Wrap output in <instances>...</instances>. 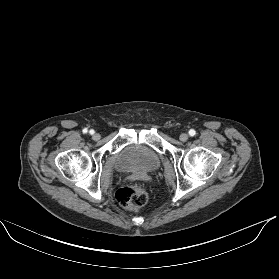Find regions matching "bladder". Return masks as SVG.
Wrapping results in <instances>:
<instances>
[{"label": "bladder", "instance_id": "31cf9c89", "mask_svg": "<svg viewBox=\"0 0 279 279\" xmlns=\"http://www.w3.org/2000/svg\"><path fill=\"white\" fill-rule=\"evenodd\" d=\"M115 166L121 173L143 178L159 169L160 158L153 148L133 142L116 153Z\"/></svg>", "mask_w": 279, "mask_h": 279}]
</instances>
